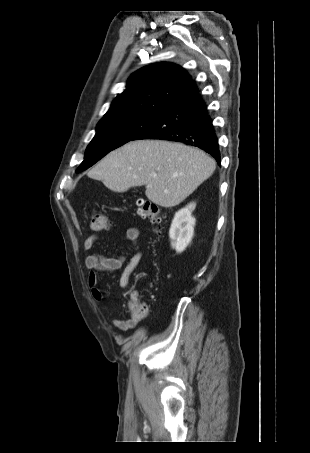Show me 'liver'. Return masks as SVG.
Here are the masks:
<instances>
[{
    "label": "liver",
    "instance_id": "1",
    "mask_svg": "<svg viewBox=\"0 0 310 453\" xmlns=\"http://www.w3.org/2000/svg\"><path fill=\"white\" fill-rule=\"evenodd\" d=\"M215 168V160L198 148L164 140H137L111 151L88 177L119 193L145 185L149 200L170 208L192 194Z\"/></svg>",
    "mask_w": 310,
    "mask_h": 453
}]
</instances>
